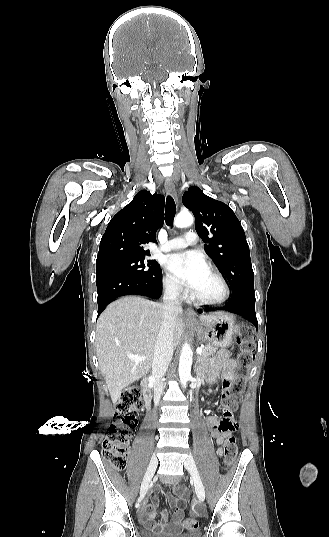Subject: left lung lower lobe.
Instances as JSON below:
<instances>
[{"mask_svg": "<svg viewBox=\"0 0 329 537\" xmlns=\"http://www.w3.org/2000/svg\"><path fill=\"white\" fill-rule=\"evenodd\" d=\"M215 309H212V311ZM216 310H224L242 316L256 328L258 321L255 313V298L250 296H240L231 298L223 307ZM211 311V310H210Z\"/></svg>", "mask_w": 329, "mask_h": 537, "instance_id": "0a47b994", "label": "left lung lower lobe"}]
</instances>
